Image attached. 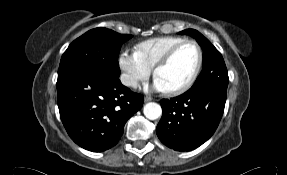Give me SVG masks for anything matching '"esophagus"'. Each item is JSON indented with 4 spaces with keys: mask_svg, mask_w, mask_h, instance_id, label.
Wrapping results in <instances>:
<instances>
[{
    "mask_svg": "<svg viewBox=\"0 0 287 175\" xmlns=\"http://www.w3.org/2000/svg\"><path fill=\"white\" fill-rule=\"evenodd\" d=\"M152 100H153V98L150 97V96H145V97H144V101H145V102H149V101H152Z\"/></svg>",
    "mask_w": 287,
    "mask_h": 175,
    "instance_id": "obj_1",
    "label": "esophagus"
}]
</instances>
